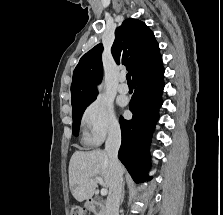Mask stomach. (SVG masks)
<instances>
[{
  "mask_svg": "<svg viewBox=\"0 0 223 215\" xmlns=\"http://www.w3.org/2000/svg\"><path fill=\"white\" fill-rule=\"evenodd\" d=\"M85 205H87V207H88L89 203H85Z\"/></svg>",
  "mask_w": 223,
  "mask_h": 215,
  "instance_id": "obj_1",
  "label": "stomach"
}]
</instances>
